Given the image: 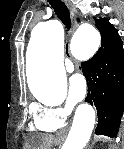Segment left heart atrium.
Wrapping results in <instances>:
<instances>
[{
    "label": "left heart atrium",
    "instance_id": "left-heart-atrium-1",
    "mask_svg": "<svg viewBox=\"0 0 124 149\" xmlns=\"http://www.w3.org/2000/svg\"><path fill=\"white\" fill-rule=\"evenodd\" d=\"M87 91L86 81L81 75H74L69 80V102L77 104L81 102Z\"/></svg>",
    "mask_w": 124,
    "mask_h": 149
}]
</instances>
